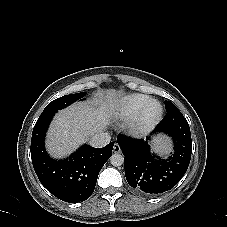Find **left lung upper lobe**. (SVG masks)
I'll list each match as a JSON object with an SVG mask.
<instances>
[{"mask_svg": "<svg viewBox=\"0 0 227 227\" xmlns=\"http://www.w3.org/2000/svg\"><path fill=\"white\" fill-rule=\"evenodd\" d=\"M175 105L172 102L166 101L165 102V107L166 111L169 110L170 108L174 107Z\"/></svg>", "mask_w": 227, "mask_h": 227, "instance_id": "left-lung-upper-lobe-1", "label": "left lung upper lobe"}]
</instances>
